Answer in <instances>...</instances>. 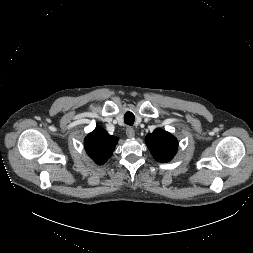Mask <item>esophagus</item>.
Returning a JSON list of instances; mask_svg holds the SVG:
<instances>
[{"instance_id":"obj_1","label":"esophagus","mask_w":253,"mask_h":253,"mask_svg":"<svg viewBox=\"0 0 253 253\" xmlns=\"http://www.w3.org/2000/svg\"><path fill=\"white\" fill-rule=\"evenodd\" d=\"M126 135H127V137H129V138H133V137L135 136V131H134V129L131 128V127H128V128L126 129Z\"/></svg>"}]
</instances>
